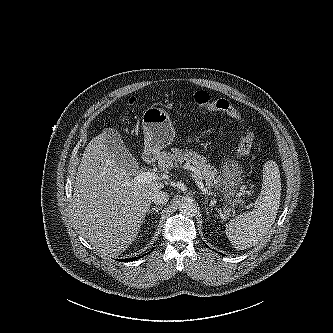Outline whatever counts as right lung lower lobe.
I'll use <instances>...</instances> for the list:
<instances>
[{
  "instance_id": "right-lung-lower-lobe-1",
  "label": "right lung lower lobe",
  "mask_w": 333,
  "mask_h": 333,
  "mask_svg": "<svg viewBox=\"0 0 333 333\" xmlns=\"http://www.w3.org/2000/svg\"><path fill=\"white\" fill-rule=\"evenodd\" d=\"M144 256V255H143ZM139 258H141V257H135V258H130V259H122V260H120V261H122V262H124V261H134V260H137V259H139Z\"/></svg>"
}]
</instances>
